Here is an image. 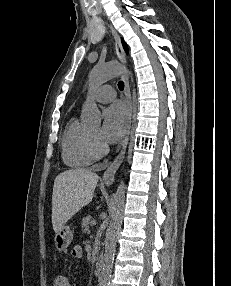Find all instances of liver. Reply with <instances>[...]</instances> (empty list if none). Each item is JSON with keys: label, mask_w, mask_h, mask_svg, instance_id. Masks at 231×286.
Masks as SVG:
<instances>
[{"label": "liver", "mask_w": 231, "mask_h": 286, "mask_svg": "<svg viewBox=\"0 0 231 286\" xmlns=\"http://www.w3.org/2000/svg\"><path fill=\"white\" fill-rule=\"evenodd\" d=\"M99 176L88 169H69L54 181L52 225L55 232L92 201Z\"/></svg>", "instance_id": "6515ba94"}]
</instances>
